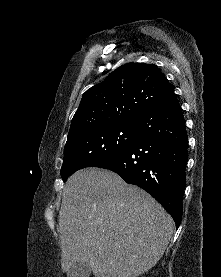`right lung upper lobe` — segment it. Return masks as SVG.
I'll return each instance as SVG.
<instances>
[{"mask_svg":"<svg viewBox=\"0 0 221 277\" xmlns=\"http://www.w3.org/2000/svg\"><path fill=\"white\" fill-rule=\"evenodd\" d=\"M173 95L171 85L156 65H122L83 94L68 138L97 126L135 122Z\"/></svg>","mask_w":221,"mask_h":277,"instance_id":"cb5924a9","label":"right lung upper lobe"}]
</instances>
